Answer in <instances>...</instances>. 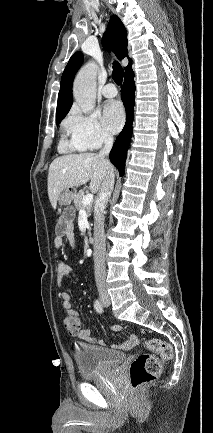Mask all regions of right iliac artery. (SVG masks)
<instances>
[{
	"label": "right iliac artery",
	"instance_id": "obj_1",
	"mask_svg": "<svg viewBox=\"0 0 213 433\" xmlns=\"http://www.w3.org/2000/svg\"><path fill=\"white\" fill-rule=\"evenodd\" d=\"M94 309L98 312V313H102L103 312V306L101 304V302L99 300H96L94 302Z\"/></svg>",
	"mask_w": 213,
	"mask_h": 433
}]
</instances>
